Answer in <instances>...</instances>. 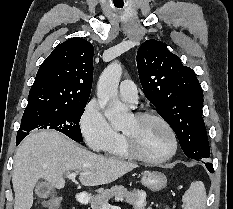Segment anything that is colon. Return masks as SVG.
I'll list each match as a JSON object with an SVG mask.
<instances>
[{"mask_svg": "<svg viewBox=\"0 0 233 209\" xmlns=\"http://www.w3.org/2000/svg\"><path fill=\"white\" fill-rule=\"evenodd\" d=\"M43 207L45 209H59L60 207V198L53 197L45 200L43 202Z\"/></svg>", "mask_w": 233, "mask_h": 209, "instance_id": "colon-1", "label": "colon"}]
</instances>
